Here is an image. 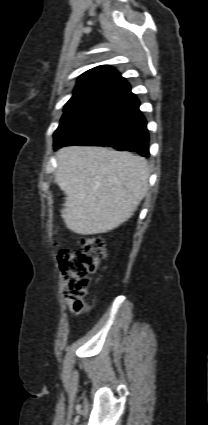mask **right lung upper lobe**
Returning <instances> with one entry per match:
<instances>
[{"label":"right lung upper lobe","mask_w":208,"mask_h":425,"mask_svg":"<svg viewBox=\"0 0 208 425\" xmlns=\"http://www.w3.org/2000/svg\"><path fill=\"white\" fill-rule=\"evenodd\" d=\"M120 77V74L109 65L92 68L78 78L74 94L85 92L100 93Z\"/></svg>","instance_id":"1"}]
</instances>
